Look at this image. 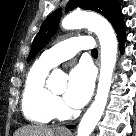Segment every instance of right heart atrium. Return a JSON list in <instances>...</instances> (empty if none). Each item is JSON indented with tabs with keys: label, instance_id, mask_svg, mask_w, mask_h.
I'll return each instance as SVG.
<instances>
[{
	"label": "right heart atrium",
	"instance_id": "d8ad5b80",
	"mask_svg": "<svg viewBox=\"0 0 136 136\" xmlns=\"http://www.w3.org/2000/svg\"><path fill=\"white\" fill-rule=\"evenodd\" d=\"M54 107H55L56 113H61L63 110V105H62L60 99L57 97H55V99H54Z\"/></svg>",
	"mask_w": 136,
	"mask_h": 136
}]
</instances>
